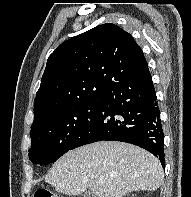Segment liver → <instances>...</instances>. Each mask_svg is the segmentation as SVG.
<instances>
[{
    "mask_svg": "<svg viewBox=\"0 0 191 197\" xmlns=\"http://www.w3.org/2000/svg\"><path fill=\"white\" fill-rule=\"evenodd\" d=\"M45 181L69 196L89 188L97 197H122L132 191L157 190L163 182V169L153 154L138 146L101 141L64 154Z\"/></svg>",
    "mask_w": 191,
    "mask_h": 197,
    "instance_id": "6515ba94",
    "label": "liver"
}]
</instances>
